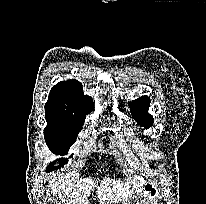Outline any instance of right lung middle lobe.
<instances>
[{"mask_svg":"<svg viewBox=\"0 0 206 204\" xmlns=\"http://www.w3.org/2000/svg\"><path fill=\"white\" fill-rule=\"evenodd\" d=\"M45 117L47 127L44 129V137L47 146L54 154L66 155L70 146L76 142L77 135L82 130L85 117L72 113L47 110H45ZM59 161L61 165L58 168L63 167L68 162V159L61 158ZM56 168L54 162H52L46 171H53Z\"/></svg>","mask_w":206,"mask_h":204,"instance_id":"1","label":"right lung middle lobe"}]
</instances>
